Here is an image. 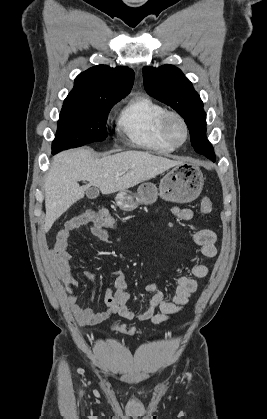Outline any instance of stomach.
Returning <instances> with one entry per match:
<instances>
[{
    "label": "stomach",
    "instance_id": "0dacf381",
    "mask_svg": "<svg viewBox=\"0 0 267 419\" xmlns=\"http://www.w3.org/2000/svg\"><path fill=\"white\" fill-rule=\"evenodd\" d=\"M204 176L200 167L194 162H181L161 179L159 188L153 183L144 182L134 194L122 190L116 195L117 206L126 212L133 211L139 205L156 202L158 196L175 203H188L195 200L202 191Z\"/></svg>",
    "mask_w": 267,
    "mask_h": 419
}]
</instances>
